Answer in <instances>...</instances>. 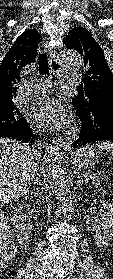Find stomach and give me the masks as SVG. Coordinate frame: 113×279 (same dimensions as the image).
<instances>
[{
	"instance_id": "stomach-1",
	"label": "stomach",
	"mask_w": 113,
	"mask_h": 279,
	"mask_svg": "<svg viewBox=\"0 0 113 279\" xmlns=\"http://www.w3.org/2000/svg\"><path fill=\"white\" fill-rule=\"evenodd\" d=\"M99 160V151L94 145H85L71 156L72 165L76 168H93L99 163Z\"/></svg>"
}]
</instances>
